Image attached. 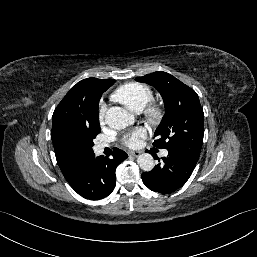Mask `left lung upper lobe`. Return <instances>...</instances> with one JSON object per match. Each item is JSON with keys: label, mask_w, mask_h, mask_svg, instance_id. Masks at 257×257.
Listing matches in <instances>:
<instances>
[{"label": "left lung upper lobe", "mask_w": 257, "mask_h": 257, "mask_svg": "<svg viewBox=\"0 0 257 257\" xmlns=\"http://www.w3.org/2000/svg\"><path fill=\"white\" fill-rule=\"evenodd\" d=\"M136 81L154 86L165 104V115L153 145L199 158L204 135V113L197 93L172 75L157 71Z\"/></svg>", "instance_id": "left-lung-upper-lobe-1"}]
</instances>
